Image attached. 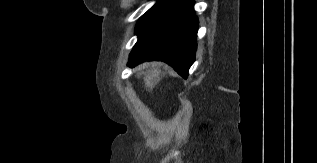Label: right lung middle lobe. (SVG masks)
<instances>
[{
  "label": "right lung middle lobe",
  "instance_id": "obj_1",
  "mask_svg": "<svg viewBox=\"0 0 317 163\" xmlns=\"http://www.w3.org/2000/svg\"><path fill=\"white\" fill-rule=\"evenodd\" d=\"M175 3L176 2L172 1H158L141 17L136 27V34H139L149 28L159 18H161Z\"/></svg>",
  "mask_w": 317,
  "mask_h": 163
}]
</instances>
